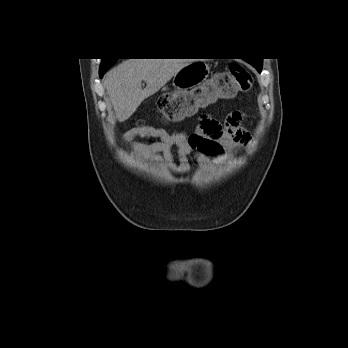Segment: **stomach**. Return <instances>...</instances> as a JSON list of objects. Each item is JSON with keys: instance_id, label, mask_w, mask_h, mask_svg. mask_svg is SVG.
I'll use <instances>...</instances> for the list:
<instances>
[{"instance_id": "1", "label": "stomach", "mask_w": 348, "mask_h": 348, "mask_svg": "<svg viewBox=\"0 0 348 348\" xmlns=\"http://www.w3.org/2000/svg\"><path fill=\"white\" fill-rule=\"evenodd\" d=\"M210 73L208 64L194 61L180 69L173 77V86L183 96L182 110L185 116L194 115L199 108H205L213 100L203 93L189 91L206 80Z\"/></svg>"}]
</instances>
